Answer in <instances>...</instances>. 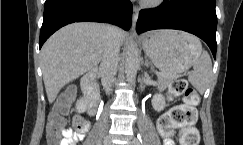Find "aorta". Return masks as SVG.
Returning <instances> with one entry per match:
<instances>
[{"instance_id":"aorta-1","label":"aorta","mask_w":243,"mask_h":145,"mask_svg":"<svg viewBox=\"0 0 243 145\" xmlns=\"http://www.w3.org/2000/svg\"><path fill=\"white\" fill-rule=\"evenodd\" d=\"M139 67V53L138 47L134 41H132L128 47L125 60V73L127 81L133 83L136 78L137 70Z\"/></svg>"}]
</instances>
